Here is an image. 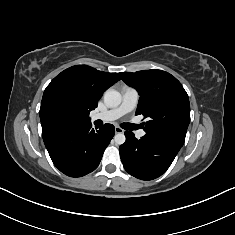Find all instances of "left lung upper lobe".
I'll return each mask as SVG.
<instances>
[{
    "label": "left lung upper lobe",
    "mask_w": 235,
    "mask_h": 235,
    "mask_svg": "<svg viewBox=\"0 0 235 235\" xmlns=\"http://www.w3.org/2000/svg\"><path fill=\"white\" fill-rule=\"evenodd\" d=\"M139 95L136 115L149 118L144 131L183 145L190 122L189 98L181 83L162 70L119 73Z\"/></svg>",
    "instance_id": "5c2ea615"
}]
</instances>
